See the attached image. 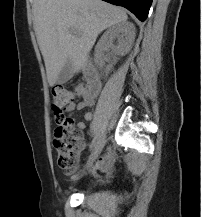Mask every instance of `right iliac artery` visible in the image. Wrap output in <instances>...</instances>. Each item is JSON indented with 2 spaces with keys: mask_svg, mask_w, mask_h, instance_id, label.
Masks as SVG:
<instances>
[{
  "mask_svg": "<svg viewBox=\"0 0 202 217\" xmlns=\"http://www.w3.org/2000/svg\"><path fill=\"white\" fill-rule=\"evenodd\" d=\"M96 142H97V137H95L92 142H91V145H90V150H93V148L95 147L96 145Z\"/></svg>",
  "mask_w": 202,
  "mask_h": 217,
  "instance_id": "82829eb1",
  "label": "right iliac artery"
}]
</instances>
